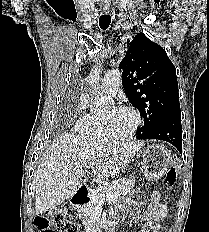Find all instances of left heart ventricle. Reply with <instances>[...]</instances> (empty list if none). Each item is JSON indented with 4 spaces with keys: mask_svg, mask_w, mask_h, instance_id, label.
Listing matches in <instances>:
<instances>
[{
    "mask_svg": "<svg viewBox=\"0 0 209 232\" xmlns=\"http://www.w3.org/2000/svg\"><path fill=\"white\" fill-rule=\"evenodd\" d=\"M104 116L108 120L111 133L115 135L127 134L134 125L133 115L125 110H117L111 107L104 113Z\"/></svg>",
    "mask_w": 209,
    "mask_h": 232,
    "instance_id": "b2bd125f",
    "label": "left heart ventricle"
}]
</instances>
